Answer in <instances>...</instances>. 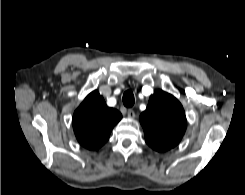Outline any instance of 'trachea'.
I'll return each mask as SVG.
<instances>
[{"label":"trachea","instance_id":"1","mask_svg":"<svg viewBox=\"0 0 245 195\" xmlns=\"http://www.w3.org/2000/svg\"><path fill=\"white\" fill-rule=\"evenodd\" d=\"M123 104L125 107H132L134 105L135 99L132 91L128 90L123 94Z\"/></svg>","mask_w":245,"mask_h":195}]
</instances>
